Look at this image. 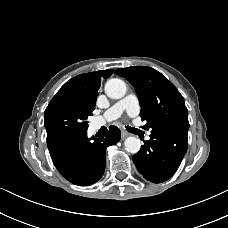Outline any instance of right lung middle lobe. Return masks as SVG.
<instances>
[{"label": "right lung middle lobe", "instance_id": "obj_1", "mask_svg": "<svg viewBox=\"0 0 228 228\" xmlns=\"http://www.w3.org/2000/svg\"><path fill=\"white\" fill-rule=\"evenodd\" d=\"M90 115L74 101L54 96L44 112L47 142L68 132L87 130Z\"/></svg>", "mask_w": 228, "mask_h": 228}]
</instances>
